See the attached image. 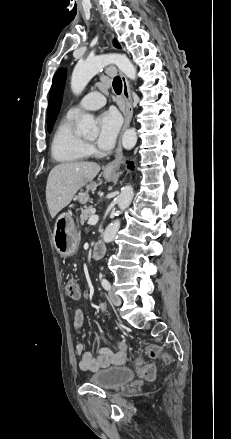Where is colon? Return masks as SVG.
I'll list each match as a JSON object with an SVG mask.
<instances>
[{
	"label": "colon",
	"mask_w": 231,
	"mask_h": 439,
	"mask_svg": "<svg viewBox=\"0 0 231 439\" xmlns=\"http://www.w3.org/2000/svg\"><path fill=\"white\" fill-rule=\"evenodd\" d=\"M65 291L68 295V298H81L82 292L80 285L72 279H68L65 282ZM144 354L147 355L150 359H160L165 364H170L172 362V357L156 345L147 346L144 349ZM134 363L139 375L143 379L147 381L154 380L155 367L152 364H146L141 357H137L134 360Z\"/></svg>",
	"instance_id": "colon-1"
}]
</instances>
